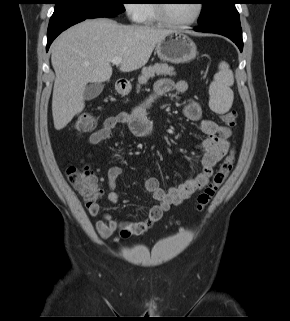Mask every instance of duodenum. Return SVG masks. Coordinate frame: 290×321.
Here are the masks:
<instances>
[{"label":"duodenum","mask_w":290,"mask_h":321,"mask_svg":"<svg viewBox=\"0 0 290 321\" xmlns=\"http://www.w3.org/2000/svg\"><path fill=\"white\" fill-rule=\"evenodd\" d=\"M119 86H120L121 88H124V87H125V84H124L123 82H120V83H119Z\"/></svg>","instance_id":"duodenum-1"}]
</instances>
